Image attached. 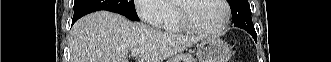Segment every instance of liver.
Segmentation results:
<instances>
[{
  "mask_svg": "<svg viewBox=\"0 0 331 62\" xmlns=\"http://www.w3.org/2000/svg\"><path fill=\"white\" fill-rule=\"evenodd\" d=\"M201 39L163 32L119 14L98 11L74 24L71 62H127L128 52L138 48H143L138 62H163Z\"/></svg>",
  "mask_w": 331,
  "mask_h": 62,
  "instance_id": "liver-1",
  "label": "liver"
}]
</instances>
